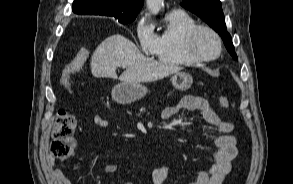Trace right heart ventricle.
<instances>
[{"mask_svg":"<svg viewBox=\"0 0 293 184\" xmlns=\"http://www.w3.org/2000/svg\"><path fill=\"white\" fill-rule=\"evenodd\" d=\"M197 25L187 13L172 11L165 17V26L156 36L154 57L164 63L176 65H193L183 48L186 33Z\"/></svg>","mask_w":293,"mask_h":184,"instance_id":"1","label":"right heart ventricle"}]
</instances>
